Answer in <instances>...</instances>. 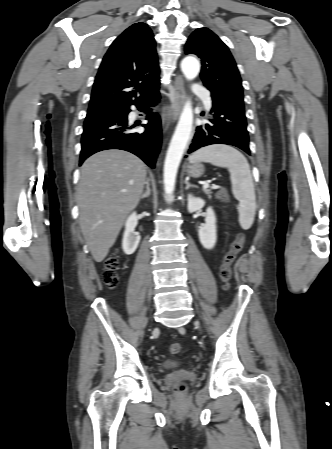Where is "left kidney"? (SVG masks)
<instances>
[{"label":"left kidney","instance_id":"obj_1","mask_svg":"<svg viewBox=\"0 0 332 449\" xmlns=\"http://www.w3.org/2000/svg\"><path fill=\"white\" fill-rule=\"evenodd\" d=\"M205 205L204 200L194 197L192 194L188 195V211L190 213L201 210ZM216 217L211 207L207 208L205 214V224L199 229L198 236L200 243L206 249H212L217 240L216 234Z\"/></svg>","mask_w":332,"mask_h":449}]
</instances>
